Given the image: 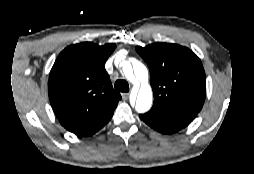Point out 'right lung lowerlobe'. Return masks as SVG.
<instances>
[{
    "instance_id": "98d812e1",
    "label": "right lung lower lobe",
    "mask_w": 254,
    "mask_h": 174,
    "mask_svg": "<svg viewBox=\"0 0 254 174\" xmlns=\"http://www.w3.org/2000/svg\"><path fill=\"white\" fill-rule=\"evenodd\" d=\"M114 110L109 112L104 117L98 119L97 121H94L76 131H73L74 134L78 136H90L96 133L99 129H101L113 116Z\"/></svg>"
}]
</instances>
